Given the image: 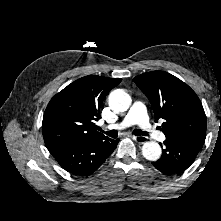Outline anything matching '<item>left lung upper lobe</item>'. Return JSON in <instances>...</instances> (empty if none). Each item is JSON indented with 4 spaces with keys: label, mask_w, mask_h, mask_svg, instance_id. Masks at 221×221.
<instances>
[{
    "label": "left lung upper lobe",
    "mask_w": 221,
    "mask_h": 221,
    "mask_svg": "<svg viewBox=\"0 0 221 221\" xmlns=\"http://www.w3.org/2000/svg\"><path fill=\"white\" fill-rule=\"evenodd\" d=\"M134 82L149 99L156 122L162 118L166 138L206 135V115L196 93L177 77L163 71L143 73Z\"/></svg>",
    "instance_id": "left-lung-upper-lobe-1"
}]
</instances>
